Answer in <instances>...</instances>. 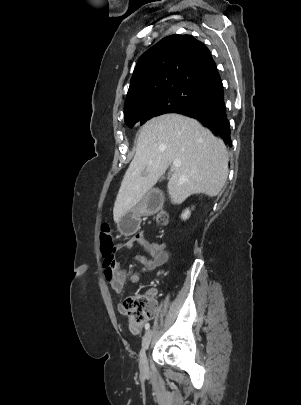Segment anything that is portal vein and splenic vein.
Returning a JSON list of instances; mask_svg holds the SVG:
<instances>
[{
	"instance_id": "18ae733b",
	"label": "portal vein and splenic vein",
	"mask_w": 301,
	"mask_h": 405,
	"mask_svg": "<svg viewBox=\"0 0 301 405\" xmlns=\"http://www.w3.org/2000/svg\"><path fill=\"white\" fill-rule=\"evenodd\" d=\"M180 165H181L180 160H174V161H173V166H174V167H178V166H180Z\"/></svg>"
}]
</instances>
